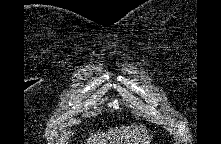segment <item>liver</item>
<instances>
[{
  "label": "liver",
  "instance_id": "1",
  "mask_svg": "<svg viewBox=\"0 0 221 144\" xmlns=\"http://www.w3.org/2000/svg\"><path fill=\"white\" fill-rule=\"evenodd\" d=\"M151 135L142 128L136 125L131 127H115L111 128L106 133L92 134L90 137L91 144H149Z\"/></svg>",
  "mask_w": 221,
  "mask_h": 144
}]
</instances>
